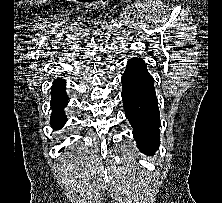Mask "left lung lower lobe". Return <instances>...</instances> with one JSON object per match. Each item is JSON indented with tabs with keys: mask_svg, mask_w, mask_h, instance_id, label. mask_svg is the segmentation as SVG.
Wrapping results in <instances>:
<instances>
[{
	"mask_svg": "<svg viewBox=\"0 0 222 203\" xmlns=\"http://www.w3.org/2000/svg\"><path fill=\"white\" fill-rule=\"evenodd\" d=\"M122 100L138 148L153 155L160 143V114L154 80L140 58H132L122 76Z\"/></svg>",
	"mask_w": 222,
	"mask_h": 203,
	"instance_id": "left-lung-lower-lobe-1",
	"label": "left lung lower lobe"
}]
</instances>
